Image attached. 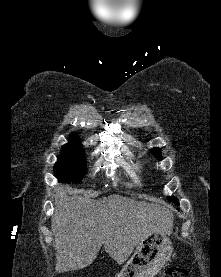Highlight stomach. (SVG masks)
<instances>
[{"label": "stomach", "instance_id": "0dacf381", "mask_svg": "<svg viewBox=\"0 0 221 277\" xmlns=\"http://www.w3.org/2000/svg\"><path fill=\"white\" fill-rule=\"evenodd\" d=\"M173 252L168 234L154 232L141 241L117 277H154Z\"/></svg>", "mask_w": 221, "mask_h": 277}]
</instances>
